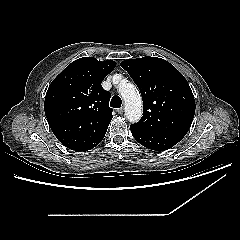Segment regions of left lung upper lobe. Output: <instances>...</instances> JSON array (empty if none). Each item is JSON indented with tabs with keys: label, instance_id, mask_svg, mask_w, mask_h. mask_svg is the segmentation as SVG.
<instances>
[{
	"label": "left lung upper lobe",
	"instance_id": "1",
	"mask_svg": "<svg viewBox=\"0 0 240 240\" xmlns=\"http://www.w3.org/2000/svg\"><path fill=\"white\" fill-rule=\"evenodd\" d=\"M138 86L143 99V116L132 124L153 133H187L195 113V100L184 76L169 62L142 57L121 62Z\"/></svg>",
	"mask_w": 240,
	"mask_h": 240
}]
</instances>
